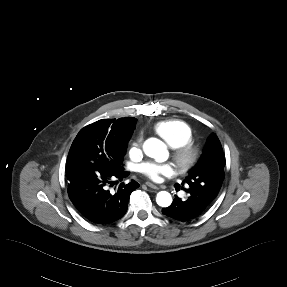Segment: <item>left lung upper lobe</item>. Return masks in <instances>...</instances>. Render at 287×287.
<instances>
[{"label": "left lung upper lobe", "mask_w": 287, "mask_h": 287, "mask_svg": "<svg viewBox=\"0 0 287 287\" xmlns=\"http://www.w3.org/2000/svg\"><path fill=\"white\" fill-rule=\"evenodd\" d=\"M225 163L222 146L213 133L207 140L202 157L188 172L182 185L185 184L191 192L213 202L224 179Z\"/></svg>", "instance_id": "obj_1"}]
</instances>
